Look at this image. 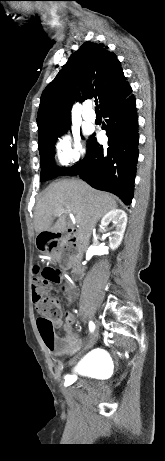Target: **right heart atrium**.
<instances>
[{
    "label": "right heart atrium",
    "instance_id": "obj_1",
    "mask_svg": "<svg viewBox=\"0 0 165 461\" xmlns=\"http://www.w3.org/2000/svg\"><path fill=\"white\" fill-rule=\"evenodd\" d=\"M85 154V150L78 135L64 133L56 142V160L63 167L71 166L79 162Z\"/></svg>",
    "mask_w": 165,
    "mask_h": 461
}]
</instances>
